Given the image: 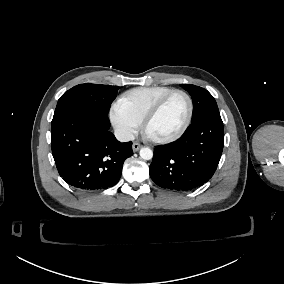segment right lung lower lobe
I'll return each instance as SVG.
<instances>
[{
	"label": "right lung lower lobe",
	"instance_id": "98d812e1",
	"mask_svg": "<svg viewBox=\"0 0 284 284\" xmlns=\"http://www.w3.org/2000/svg\"><path fill=\"white\" fill-rule=\"evenodd\" d=\"M106 114L75 108L52 120V154L60 176L85 191L103 190L118 183L132 142L121 143L109 131Z\"/></svg>",
	"mask_w": 284,
	"mask_h": 284
}]
</instances>
